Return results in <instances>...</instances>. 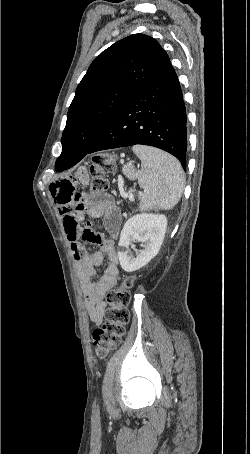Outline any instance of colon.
Wrapping results in <instances>:
<instances>
[{
	"mask_svg": "<svg viewBox=\"0 0 250 454\" xmlns=\"http://www.w3.org/2000/svg\"><path fill=\"white\" fill-rule=\"evenodd\" d=\"M115 165V156L110 153H98L92 157L90 192L93 196L102 195L108 189L107 174ZM135 279L124 277L120 285L110 290L107 295L109 305L103 325L93 331L95 353L99 358L107 357L120 343L125 326L129 321L128 305Z\"/></svg>",
	"mask_w": 250,
	"mask_h": 454,
	"instance_id": "colon-1",
	"label": "colon"
}]
</instances>
